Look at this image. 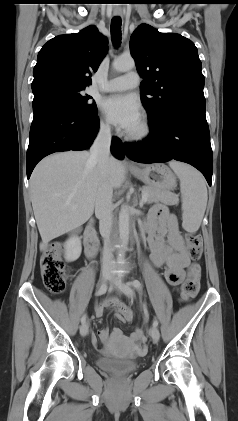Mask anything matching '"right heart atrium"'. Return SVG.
<instances>
[{"label": "right heart atrium", "mask_w": 238, "mask_h": 421, "mask_svg": "<svg viewBox=\"0 0 238 421\" xmlns=\"http://www.w3.org/2000/svg\"><path fill=\"white\" fill-rule=\"evenodd\" d=\"M99 128H100V131L103 134H106V135L110 134L111 131H112V128H111V125H110L109 121L105 118L100 119Z\"/></svg>", "instance_id": "1"}]
</instances>
